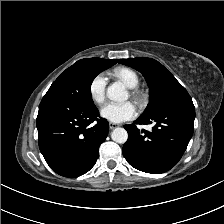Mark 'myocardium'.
Returning a JSON list of instances; mask_svg holds the SVG:
<instances>
[{
  "mask_svg": "<svg viewBox=\"0 0 224 224\" xmlns=\"http://www.w3.org/2000/svg\"><path fill=\"white\" fill-rule=\"evenodd\" d=\"M130 96L139 104H142L145 100L144 93L136 88L131 89Z\"/></svg>",
  "mask_w": 224,
  "mask_h": 224,
  "instance_id": "1",
  "label": "myocardium"
}]
</instances>
